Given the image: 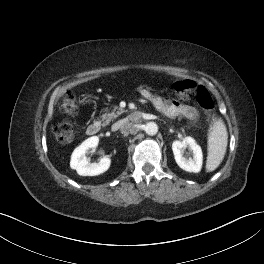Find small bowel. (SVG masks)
<instances>
[{"instance_id": "small-bowel-1", "label": "small bowel", "mask_w": 264, "mask_h": 264, "mask_svg": "<svg viewBox=\"0 0 264 264\" xmlns=\"http://www.w3.org/2000/svg\"><path fill=\"white\" fill-rule=\"evenodd\" d=\"M140 95L144 99L151 101L158 110L170 117L182 116L191 121L198 117V111L193 106L182 105L175 101L165 100L159 96L153 95L146 89L141 90Z\"/></svg>"}]
</instances>
